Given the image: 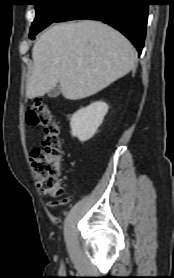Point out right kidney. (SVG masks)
I'll return each mask as SVG.
<instances>
[{
  "instance_id": "ca27d5eb",
  "label": "right kidney",
  "mask_w": 174,
  "mask_h": 278,
  "mask_svg": "<svg viewBox=\"0 0 174 278\" xmlns=\"http://www.w3.org/2000/svg\"><path fill=\"white\" fill-rule=\"evenodd\" d=\"M107 112L108 105L102 101H96L78 110L70 119L72 136L77 137L81 142L91 139Z\"/></svg>"
}]
</instances>
